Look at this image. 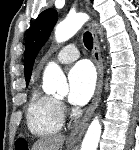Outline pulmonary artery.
<instances>
[{
  "mask_svg": "<svg viewBox=\"0 0 139 150\" xmlns=\"http://www.w3.org/2000/svg\"><path fill=\"white\" fill-rule=\"evenodd\" d=\"M79 55L77 46L74 44H69L57 53L55 59L60 63H70L78 59Z\"/></svg>",
  "mask_w": 139,
  "mask_h": 150,
  "instance_id": "e3ab8cb5",
  "label": "pulmonary artery"
}]
</instances>
